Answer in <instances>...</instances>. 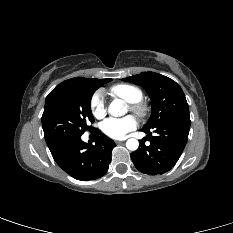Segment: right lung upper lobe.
<instances>
[{"label":"right lung upper lobe","instance_id":"obj_1","mask_svg":"<svg viewBox=\"0 0 233 233\" xmlns=\"http://www.w3.org/2000/svg\"><path fill=\"white\" fill-rule=\"evenodd\" d=\"M105 79H92V78H82V77H76V78H72L69 80H66L62 83H60L58 86H56L47 96V98H49L51 95H53L54 93L61 91V90H66V89H70L85 83H92V82H103Z\"/></svg>","mask_w":233,"mask_h":233}]
</instances>
